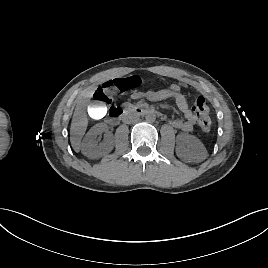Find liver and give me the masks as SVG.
<instances>
[{"instance_id": "liver-1", "label": "liver", "mask_w": 268, "mask_h": 268, "mask_svg": "<svg viewBox=\"0 0 268 268\" xmlns=\"http://www.w3.org/2000/svg\"><path fill=\"white\" fill-rule=\"evenodd\" d=\"M95 86H89L84 89L77 99V105L73 114L70 127V141L73 149L80 150L81 139L85 134L88 126V117L86 109L90 104V99L95 91Z\"/></svg>"}]
</instances>
